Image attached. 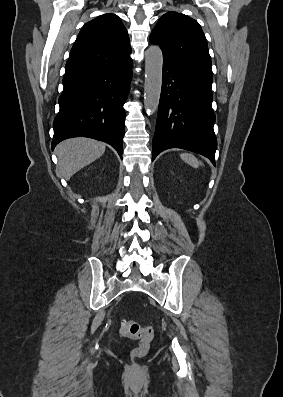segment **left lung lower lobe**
I'll return each instance as SVG.
<instances>
[{
	"mask_svg": "<svg viewBox=\"0 0 283 397\" xmlns=\"http://www.w3.org/2000/svg\"><path fill=\"white\" fill-rule=\"evenodd\" d=\"M212 101L211 85L163 60L152 161L166 149L181 148L201 154L215 165L217 139Z\"/></svg>",
	"mask_w": 283,
	"mask_h": 397,
	"instance_id": "left-lung-lower-lobe-1",
	"label": "left lung lower lobe"
}]
</instances>
